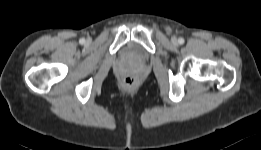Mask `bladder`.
<instances>
[{
	"label": "bladder",
	"instance_id": "1",
	"mask_svg": "<svg viewBox=\"0 0 261 150\" xmlns=\"http://www.w3.org/2000/svg\"><path fill=\"white\" fill-rule=\"evenodd\" d=\"M122 54L129 59L144 61L148 55L146 51L135 43H128L122 49Z\"/></svg>",
	"mask_w": 261,
	"mask_h": 150
}]
</instances>
